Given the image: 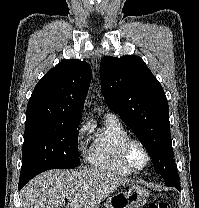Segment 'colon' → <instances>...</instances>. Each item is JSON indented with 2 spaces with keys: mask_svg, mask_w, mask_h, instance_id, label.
Segmentation results:
<instances>
[{
  "mask_svg": "<svg viewBox=\"0 0 199 208\" xmlns=\"http://www.w3.org/2000/svg\"><path fill=\"white\" fill-rule=\"evenodd\" d=\"M148 208H168L165 203L159 202V203H150Z\"/></svg>",
  "mask_w": 199,
  "mask_h": 208,
  "instance_id": "1",
  "label": "colon"
}]
</instances>
